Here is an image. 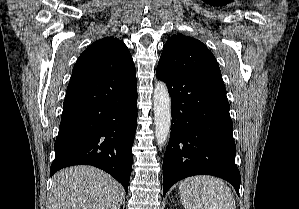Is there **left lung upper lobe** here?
<instances>
[{
  "instance_id": "5c2ea615",
  "label": "left lung upper lobe",
  "mask_w": 299,
  "mask_h": 209,
  "mask_svg": "<svg viewBox=\"0 0 299 209\" xmlns=\"http://www.w3.org/2000/svg\"><path fill=\"white\" fill-rule=\"evenodd\" d=\"M158 66L173 72L221 76L220 68L211 51L201 41L182 34L169 38Z\"/></svg>"
}]
</instances>
